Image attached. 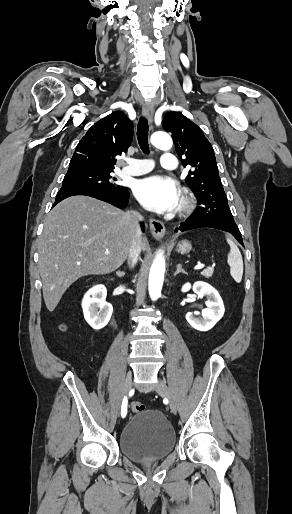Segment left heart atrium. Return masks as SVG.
I'll return each instance as SVG.
<instances>
[{"label": "left heart atrium", "instance_id": "1", "mask_svg": "<svg viewBox=\"0 0 292 514\" xmlns=\"http://www.w3.org/2000/svg\"><path fill=\"white\" fill-rule=\"evenodd\" d=\"M134 195L145 208L161 213L175 209L180 201L175 183L160 175L139 180L135 185Z\"/></svg>", "mask_w": 292, "mask_h": 514}]
</instances>
